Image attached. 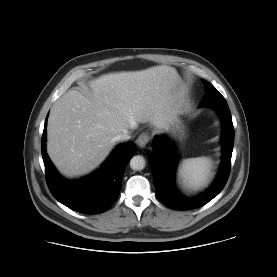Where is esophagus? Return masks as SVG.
Wrapping results in <instances>:
<instances>
[{
    "mask_svg": "<svg viewBox=\"0 0 277 277\" xmlns=\"http://www.w3.org/2000/svg\"><path fill=\"white\" fill-rule=\"evenodd\" d=\"M149 140H150L149 135L147 133H142L137 138L136 143L140 148H144L147 145V143L149 142Z\"/></svg>",
    "mask_w": 277,
    "mask_h": 277,
    "instance_id": "34e87169",
    "label": "esophagus"
}]
</instances>
